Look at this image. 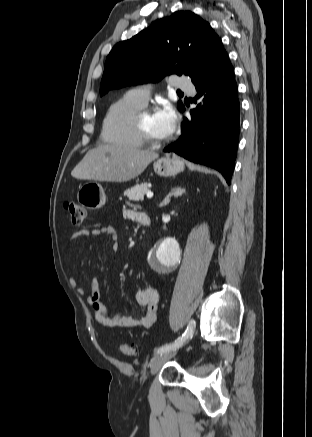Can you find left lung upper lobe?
Wrapping results in <instances>:
<instances>
[{
    "label": "left lung upper lobe",
    "instance_id": "left-lung-upper-lobe-1",
    "mask_svg": "<svg viewBox=\"0 0 312 437\" xmlns=\"http://www.w3.org/2000/svg\"><path fill=\"white\" fill-rule=\"evenodd\" d=\"M224 51L210 25L190 11L159 19L107 56L100 95L113 88L159 81L166 75L202 79ZM184 108L179 101V109Z\"/></svg>",
    "mask_w": 312,
    "mask_h": 437
}]
</instances>
